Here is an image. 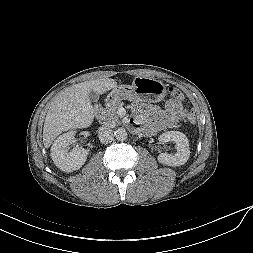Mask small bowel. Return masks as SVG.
<instances>
[{"mask_svg": "<svg viewBox=\"0 0 253 253\" xmlns=\"http://www.w3.org/2000/svg\"><path fill=\"white\" fill-rule=\"evenodd\" d=\"M132 127H142L147 134H156L173 128L186 117V110L177 100H168L164 109L154 105L137 102L132 105Z\"/></svg>", "mask_w": 253, "mask_h": 253, "instance_id": "1", "label": "small bowel"}]
</instances>
